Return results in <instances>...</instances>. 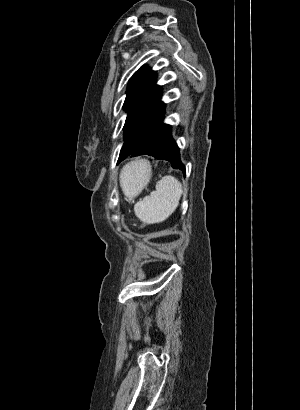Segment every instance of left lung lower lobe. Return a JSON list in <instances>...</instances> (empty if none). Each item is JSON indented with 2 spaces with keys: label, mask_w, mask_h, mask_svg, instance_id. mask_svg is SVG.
<instances>
[{
  "label": "left lung lower lobe",
  "mask_w": 300,
  "mask_h": 410,
  "mask_svg": "<svg viewBox=\"0 0 300 410\" xmlns=\"http://www.w3.org/2000/svg\"><path fill=\"white\" fill-rule=\"evenodd\" d=\"M150 155L156 159H164L175 169L185 172V166L180 161L179 148L171 136L170 125L161 123L145 144L131 156Z\"/></svg>",
  "instance_id": "0a47b994"
}]
</instances>
